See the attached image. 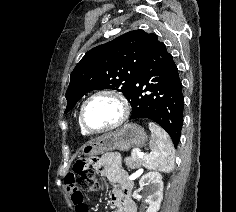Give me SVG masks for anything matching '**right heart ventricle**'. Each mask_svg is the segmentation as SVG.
Listing matches in <instances>:
<instances>
[{"mask_svg": "<svg viewBox=\"0 0 236 212\" xmlns=\"http://www.w3.org/2000/svg\"><path fill=\"white\" fill-rule=\"evenodd\" d=\"M81 132L83 133V134H85V132H84V130L81 128Z\"/></svg>", "mask_w": 236, "mask_h": 212, "instance_id": "obj_1", "label": "right heart ventricle"}]
</instances>
